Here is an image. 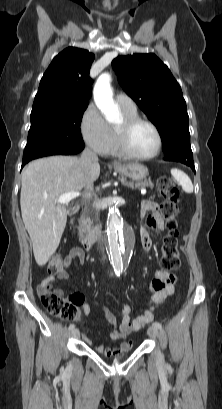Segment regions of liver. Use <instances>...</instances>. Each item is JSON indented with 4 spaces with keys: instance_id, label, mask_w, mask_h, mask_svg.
I'll use <instances>...</instances> for the list:
<instances>
[{
    "instance_id": "1",
    "label": "liver",
    "mask_w": 222,
    "mask_h": 409,
    "mask_svg": "<svg viewBox=\"0 0 222 409\" xmlns=\"http://www.w3.org/2000/svg\"><path fill=\"white\" fill-rule=\"evenodd\" d=\"M100 175V165L84 168L78 157L50 156L30 162L22 173L20 206L36 263L44 266L57 250L68 210L57 202L78 192Z\"/></svg>"
}]
</instances>
